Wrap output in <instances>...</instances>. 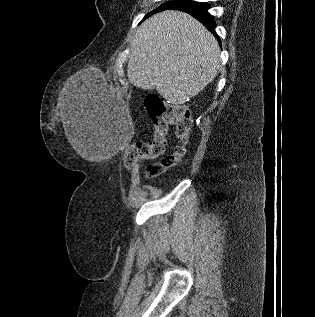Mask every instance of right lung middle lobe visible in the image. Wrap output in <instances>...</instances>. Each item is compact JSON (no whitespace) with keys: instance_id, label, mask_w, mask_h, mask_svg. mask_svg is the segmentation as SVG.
Listing matches in <instances>:
<instances>
[{"instance_id":"1","label":"right lung middle lobe","mask_w":315,"mask_h":317,"mask_svg":"<svg viewBox=\"0 0 315 317\" xmlns=\"http://www.w3.org/2000/svg\"><path fill=\"white\" fill-rule=\"evenodd\" d=\"M180 1H182V0H174V1H172V2H168V3L164 4V5H161L159 8H157L156 10H154L152 13H156V12H158V11H162V10H164L165 8H167L168 6L174 5V4H176V3L180 2ZM152 13H151V14H152ZM151 14H150V15H151Z\"/></svg>"}]
</instances>
